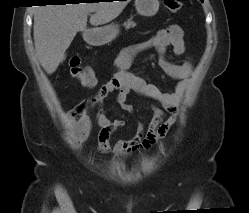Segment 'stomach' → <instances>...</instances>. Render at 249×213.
<instances>
[{
    "label": "stomach",
    "instance_id": "0dacf381",
    "mask_svg": "<svg viewBox=\"0 0 249 213\" xmlns=\"http://www.w3.org/2000/svg\"><path fill=\"white\" fill-rule=\"evenodd\" d=\"M135 7L142 16H154L159 10V0H135ZM118 34L117 25L110 24L89 31L84 38L90 45L101 46L114 40Z\"/></svg>",
    "mask_w": 249,
    "mask_h": 213
}]
</instances>
